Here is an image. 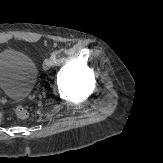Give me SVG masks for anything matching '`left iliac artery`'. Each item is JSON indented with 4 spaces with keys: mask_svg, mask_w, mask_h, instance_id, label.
Here are the masks:
<instances>
[{
    "mask_svg": "<svg viewBox=\"0 0 163 163\" xmlns=\"http://www.w3.org/2000/svg\"><path fill=\"white\" fill-rule=\"evenodd\" d=\"M51 57L53 58L54 62L56 61V57H57V52H53Z\"/></svg>",
    "mask_w": 163,
    "mask_h": 163,
    "instance_id": "1",
    "label": "left iliac artery"
}]
</instances>
